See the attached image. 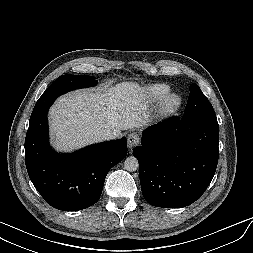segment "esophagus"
<instances>
[{"mask_svg":"<svg viewBox=\"0 0 253 253\" xmlns=\"http://www.w3.org/2000/svg\"><path fill=\"white\" fill-rule=\"evenodd\" d=\"M140 143V137L136 132H132L127 137V145L130 149L137 146Z\"/></svg>","mask_w":253,"mask_h":253,"instance_id":"esophagus-1","label":"esophagus"}]
</instances>
